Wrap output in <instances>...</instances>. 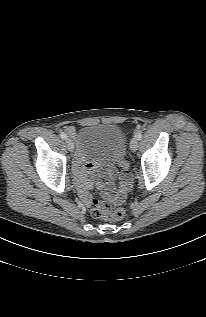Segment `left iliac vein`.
Listing matches in <instances>:
<instances>
[{"label":"left iliac vein","mask_w":206,"mask_h":317,"mask_svg":"<svg viewBox=\"0 0 206 317\" xmlns=\"http://www.w3.org/2000/svg\"><path fill=\"white\" fill-rule=\"evenodd\" d=\"M139 140L137 138H133L130 143V149L135 152L138 149Z\"/></svg>","instance_id":"4c4485c4"}]
</instances>
